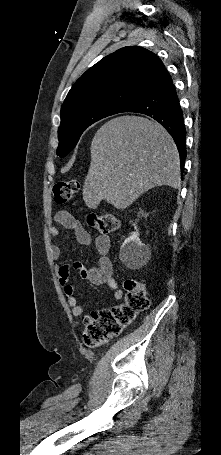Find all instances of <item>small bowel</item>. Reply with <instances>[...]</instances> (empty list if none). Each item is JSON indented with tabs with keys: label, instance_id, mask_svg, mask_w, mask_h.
<instances>
[{
	"label": "small bowel",
	"instance_id": "small-bowel-1",
	"mask_svg": "<svg viewBox=\"0 0 221 455\" xmlns=\"http://www.w3.org/2000/svg\"><path fill=\"white\" fill-rule=\"evenodd\" d=\"M56 221L61 226L73 231L77 240L82 245H89L92 241L90 234L83 227L81 222L73 215L66 211H61L56 216ZM50 233L54 237L60 235V231L56 226L51 227ZM95 247L98 253V263L95 267L86 268L80 262L65 263L58 267V281L64 288L67 302L71 307V312L74 316H81L85 312V308L80 305L78 298L75 295L74 286L69 283L70 271L77 270L81 277L88 280L93 285H107L114 291V299L120 300L123 297V291L119 288L118 282L112 275V262L109 257L110 239L106 235H98L95 238ZM51 256L58 260L62 257V250L59 246L51 247Z\"/></svg>",
	"mask_w": 221,
	"mask_h": 455
}]
</instances>
